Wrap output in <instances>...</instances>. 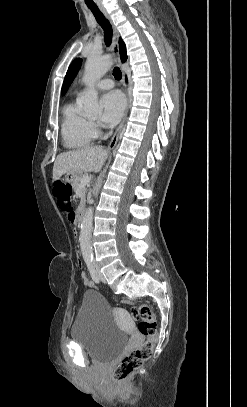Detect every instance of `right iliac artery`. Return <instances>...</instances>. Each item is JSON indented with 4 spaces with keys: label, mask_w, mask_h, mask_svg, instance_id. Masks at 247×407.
<instances>
[{
    "label": "right iliac artery",
    "mask_w": 247,
    "mask_h": 407,
    "mask_svg": "<svg viewBox=\"0 0 247 407\" xmlns=\"http://www.w3.org/2000/svg\"><path fill=\"white\" fill-rule=\"evenodd\" d=\"M92 261H93L92 257H86L85 258V263H86V265L88 267V270L90 272V275H91L93 281L95 283H99L100 279H99V276H98V274H97V272H96V270H95V268L93 266Z\"/></svg>",
    "instance_id": "82829eb1"
}]
</instances>
